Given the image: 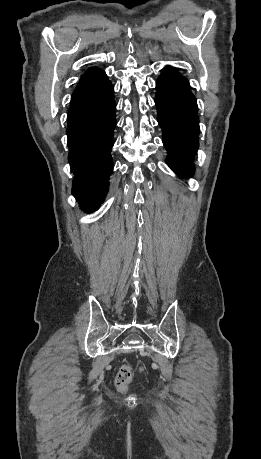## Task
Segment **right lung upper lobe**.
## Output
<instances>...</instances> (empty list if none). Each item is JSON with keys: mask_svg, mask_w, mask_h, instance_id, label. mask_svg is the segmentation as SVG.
Here are the masks:
<instances>
[{"mask_svg": "<svg viewBox=\"0 0 261 459\" xmlns=\"http://www.w3.org/2000/svg\"><path fill=\"white\" fill-rule=\"evenodd\" d=\"M107 75L99 68H89L80 78L79 83L72 94L71 104L83 99L89 94L100 89L108 83Z\"/></svg>", "mask_w": 261, "mask_h": 459, "instance_id": "right-lung-upper-lobe-1", "label": "right lung upper lobe"}]
</instances>
